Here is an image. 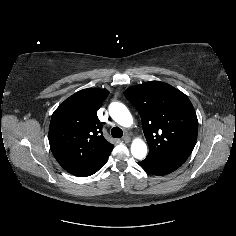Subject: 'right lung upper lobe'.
Masks as SVG:
<instances>
[{"label":"right lung upper lobe","mask_w":236,"mask_h":236,"mask_svg":"<svg viewBox=\"0 0 236 236\" xmlns=\"http://www.w3.org/2000/svg\"><path fill=\"white\" fill-rule=\"evenodd\" d=\"M103 89L80 90L53 113L49 143L58 163L78 177L94 174L108 159L114 145L102 135L97 109L108 96Z\"/></svg>","instance_id":"1"}]
</instances>
